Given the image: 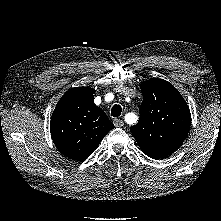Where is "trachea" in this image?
<instances>
[{
  "label": "trachea",
  "mask_w": 221,
  "mask_h": 221,
  "mask_svg": "<svg viewBox=\"0 0 221 221\" xmlns=\"http://www.w3.org/2000/svg\"><path fill=\"white\" fill-rule=\"evenodd\" d=\"M122 108L120 105L115 104L111 109V116L113 117H119L121 115Z\"/></svg>",
  "instance_id": "trachea-1"
}]
</instances>
